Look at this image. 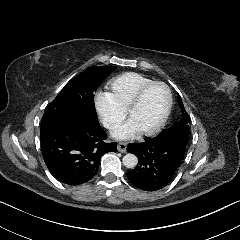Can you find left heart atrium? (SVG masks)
Instances as JSON below:
<instances>
[{
	"mask_svg": "<svg viewBox=\"0 0 240 240\" xmlns=\"http://www.w3.org/2000/svg\"><path fill=\"white\" fill-rule=\"evenodd\" d=\"M139 133L140 129L137 125L133 121H128L113 134V137L118 140H126L134 138Z\"/></svg>",
	"mask_w": 240,
	"mask_h": 240,
	"instance_id": "obj_1",
	"label": "left heart atrium"
}]
</instances>
